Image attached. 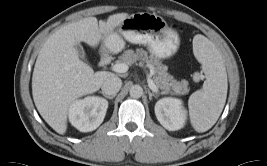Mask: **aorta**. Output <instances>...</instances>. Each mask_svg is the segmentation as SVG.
<instances>
[{"label":"aorta","instance_id":"aorta-1","mask_svg":"<svg viewBox=\"0 0 267 166\" xmlns=\"http://www.w3.org/2000/svg\"><path fill=\"white\" fill-rule=\"evenodd\" d=\"M130 96L132 98H140L143 94V89L141 86L139 85H133L131 88H130Z\"/></svg>","mask_w":267,"mask_h":166}]
</instances>
